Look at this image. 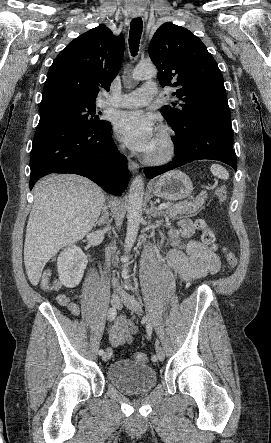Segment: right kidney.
I'll return each instance as SVG.
<instances>
[{
	"label": "right kidney",
	"instance_id": "right-kidney-1",
	"mask_svg": "<svg viewBox=\"0 0 271 443\" xmlns=\"http://www.w3.org/2000/svg\"><path fill=\"white\" fill-rule=\"evenodd\" d=\"M87 255L78 245H69L60 251L57 259L59 279L65 287H75L80 283L87 265Z\"/></svg>",
	"mask_w": 271,
	"mask_h": 443
}]
</instances>
